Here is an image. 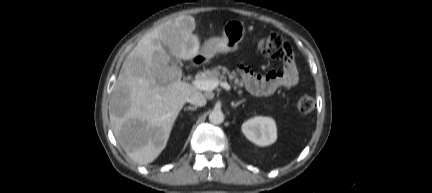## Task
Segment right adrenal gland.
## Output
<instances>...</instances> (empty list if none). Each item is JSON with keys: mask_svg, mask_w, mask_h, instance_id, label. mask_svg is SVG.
Here are the masks:
<instances>
[{"mask_svg": "<svg viewBox=\"0 0 432 193\" xmlns=\"http://www.w3.org/2000/svg\"><path fill=\"white\" fill-rule=\"evenodd\" d=\"M196 109H197L196 106H193V107L189 106V107L184 108V110H190V111H195Z\"/></svg>", "mask_w": 432, "mask_h": 193, "instance_id": "right-adrenal-gland-1", "label": "right adrenal gland"}]
</instances>
